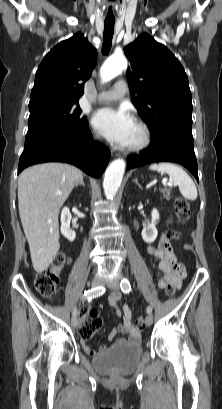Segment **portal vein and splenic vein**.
<instances>
[{"instance_id": "18ae733b", "label": "portal vein and splenic vein", "mask_w": 222, "mask_h": 409, "mask_svg": "<svg viewBox=\"0 0 222 409\" xmlns=\"http://www.w3.org/2000/svg\"><path fill=\"white\" fill-rule=\"evenodd\" d=\"M162 182H163V184H165V185H171V183L168 182L167 179L163 180Z\"/></svg>"}]
</instances>
